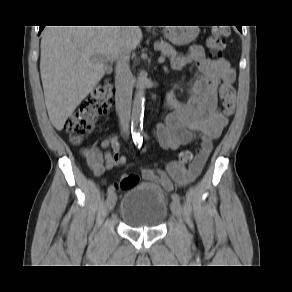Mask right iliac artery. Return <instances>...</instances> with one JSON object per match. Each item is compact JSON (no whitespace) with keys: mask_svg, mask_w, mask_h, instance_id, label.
Wrapping results in <instances>:
<instances>
[{"mask_svg":"<svg viewBox=\"0 0 292 292\" xmlns=\"http://www.w3.org/2000/svg\"><path fill=\"white\" fill-rule=\"evenodd\" d=\"M113 192H114V188H113V186H110L107 190L108 195H110Z\"/></svg>","mask_w":292,"mask_h":292,"instance_id":"1","label":"right iliac artery"}]
</instances>
